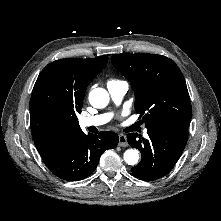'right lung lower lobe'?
<instances>
[{
    "label": "right lung lower lobe",
    "mask_w": 221,
    "mask_h": 221,
    "mask_svg": "<svg viewBox=\"0 0 221 221\" xmlns=\"http://www.w3.org/2000/svg\"><path fill=\"white\" fill-rule=\"evenodd\" d=\"M118 142V135L111 131H103L97 136L80 132L39 153L53 174L66 181H76L91 175L102 153L115 148Z\"/></svg>",
    "instance_id": "right-lung-lower-lobe-1"
}]
</instances>
